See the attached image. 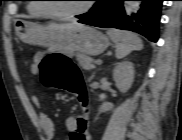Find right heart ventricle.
<instances>
[{"label":"right heart ventricle","mask_w":182,"mask_h":140,"mask_svg":"<svg viewBox=\"0 0 182 140\" xmlns=\"http://www.w3.org/2000/svg\"><path fill=\"white\" fill-rule=\"evenodd\" d=\"M32 1L33 2H31L27 7L28 13L31 16L36 18L47 16L46 12L43 10V7H42L43 5L37 2H34V1H40V0H32Z\"/></svg>","instance_id":"1"}]
</instances>
